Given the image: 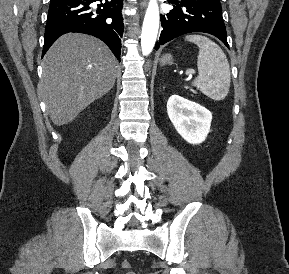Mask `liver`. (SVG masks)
Masks as SVG:
<instances>
[{"mask_svg": "<svg viewBox=\"0 0 289 274\" xmlns=\"http://www.w3.org/2000/svg\"><path fill=\"white\" fill-rule=\"evenodd\" d=\"M117 60L99 39L68 33L44 57L38 93L52 122L62 126L113 87Z\"/></svg>", "mask_w": 289, "mask_h": 274, "instance_id": "6515ba94", "label": "liver"}]
</instances>
